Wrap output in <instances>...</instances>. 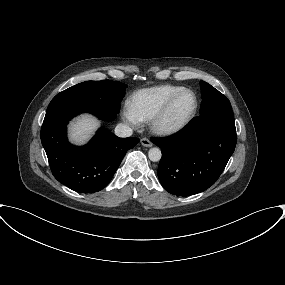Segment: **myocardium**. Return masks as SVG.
I'll use <instances>...</instances> for the list:
<instances>
[{
	"label": "myocardium",
	"instance_id": "myocardium-1",
	"mask_svg": "<svg viewBox=\"0 0 285 285\" xmlns=\"http://www.w3.org/2000/svg\"><path fill=\"white\" fill-rule=\"evenodd\" d=\"M184 94H191L194 98V105L188 115L178 123L167 122V117L176 103V101ZM198 97L196 93L190 89H183L173 95L162 107L161 109L151 118L150 126L154 133L161 136H171L182 132L186 129L189 124L194 119L198 110Z\"/></svg>",
	"mask_w": 285,
	"mask_h": 285
}]
</instances>
